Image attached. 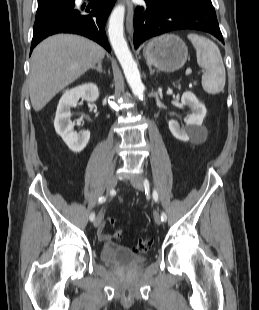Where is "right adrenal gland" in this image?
Segmentation results:
<instances>
[{
    "label": "right adrenal gland",
    "instance_id": "2a0ac1e0",
    "mask_svg": "<svg viewBox=\"0 0 259 310\" xmlns=\"http://www.w3.org/2000/svg\"><path fill=\"white\" fill-rule=\"evenodd\" d=\"M91 69H92V70H93V69H96L99 73H103V70H102V61L99 62V63L97 64L96 67H92Z\"/></svg>",
    "mask_w": 259,
    "mask_h": 310
}]
</instances>
